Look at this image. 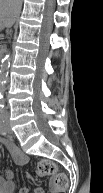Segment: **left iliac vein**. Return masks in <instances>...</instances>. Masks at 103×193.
I'll use <instances>...</instances> for the list:
<instances>
[{
    "label": "left iliac vein",
    "mask_w": 103,
    "mask_h": 193,
    "mask_svg": "<svg viewBox=\"0 0 103 193\" xmlns=\"http://www.w3.org/2000/svg\"><path fill=\"white\" fill-rule=\"evenodd\" d=\"M6 129H7V132H8L9 134H12V130H11V128H10V124H9L8 121L6 122Z\"/></svg>",
    "instance_id": "obj_1"
}]
</instances>
